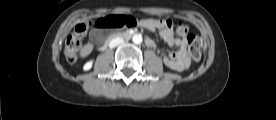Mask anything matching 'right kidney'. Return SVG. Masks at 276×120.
I'll return each instance as SVG.
<instances>
[{
    "label": "right kidney",
    "instance_id": "right-kidney-1",
    "mask_svg": "<svg viewBox=\"0 0 276 120\" xmlns=\"http://www.w3.org/2000/svg\"><path fill=\"white\" fill-rule=\"evenodd\" d=\"M93 61H88L85 65H84V70H89L92 67Z\"/></svg>",
    "mask_w": 276,
    "mask_h": 120
}]
</instances>
